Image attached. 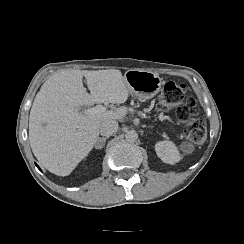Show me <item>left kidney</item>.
I'll use <instances>...</instances> for the list:
<instances>
[{"label":"left kidney","mask_w":244,"mask_h":244,"mask_svg":"<svg viewBox=\"0 0 244 244\" xmlns=\"http://www.w3.org/2000/svg\"><path fill=\"white\" fill-rule=\"evenodd\" d=\"M157 156L168 164H175L182 159L177 147L171 141H159L155 144Z\"/></svg>","instance_id":"obj_1"}]
</instances>
